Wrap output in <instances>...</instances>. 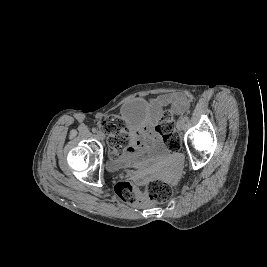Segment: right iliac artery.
I'll list each match as a JSON object with an SVG mask.
<instances>
[{
  "mask_svg": "<svg viewBox=\"0 0 267 267\" xmlns=\"http://www.w3.org/2000/svg\"><path fill=\"white\" fill-rule=\"evenodd\" d=\"M92 132L93 133H96L97 132V129L96 128H92Z\"/></svg>",
  "mask_w": 267,
  "mask_h": 267,
  "instance_id": "1",
  "label": "right iliac artery"
}]
</instances>
